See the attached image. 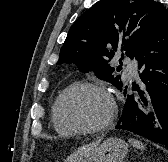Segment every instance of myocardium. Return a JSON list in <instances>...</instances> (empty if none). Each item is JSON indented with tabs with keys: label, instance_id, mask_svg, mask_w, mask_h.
<instances>
[{
	"label": "myocardium",
	"instance_id": "1",
	"mask_svg": "<svg viewBox=\"0 0 168 162\" xmlns=\"http://www.w3.org/2000/svg\"><path fill=\"white\" fill-rule=\"evenodd\" d=\"M82 89L95 90L103 93L109 98L111 102V112L108 118L104 122L97 125H83L71 120L66 115L65 109H64L66 99L74 92ZM117 113H118V106H117L116 100L114 99L110 91L106 87L92 82H78L70 85L61 93L57 102V114L60 121L68 128L76 132L93 133V132H101V131L107 130L113 124L117 116Z\"/></svg>",
	"mask_w": 168,
	"mask_h": 162
}]
</instances>
